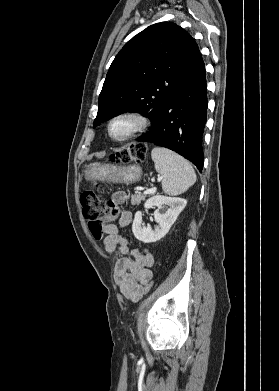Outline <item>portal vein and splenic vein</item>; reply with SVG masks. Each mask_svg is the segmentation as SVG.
I'll return each instance as SVG.
<instances>
[{"label": "portal vein and splenic vein", "instance_id": "obj_1", "mask_svg": "<svg viewBox=\"0 0 279 391\" xmlns=\"http://www.w3.org/2000/svg\"><path fill=\"white\" fill-rule=\"evenodd\" d=\"M156 191H157V188L153 187V188L145 190L144 194H154Z\"/></svg>", "mask_w": 279, "mask_h": 391}]
</instances>
